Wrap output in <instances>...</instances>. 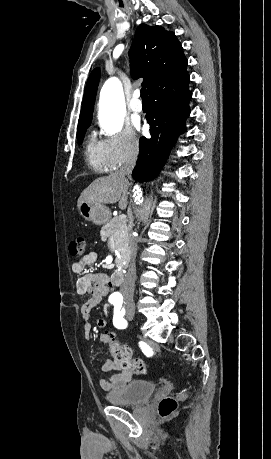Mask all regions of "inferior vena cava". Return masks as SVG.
<instances>
[{
    "label": "inferior vena cava",
    "instance_id": "1",
    "mask_svg": "<svg viewBox=\"0 0 271 459\" xmlns=\"http://www.w3.org/2000/svg\"><path fill=\"white\" fill-rule=\"evenodd\" d=\"M136 164V160H130V162H126L122 168H120L119 172L120 174H126V176H129L131 178L132 170H134V166ZM129 273H127L125 277V281L121 287V291L125 297V299H131L133 297L134 293V277L132 279H129L128 277Z\"/></svg>",
    "mask_w": 271,
    "mask_h": 459
}]
</instances>
